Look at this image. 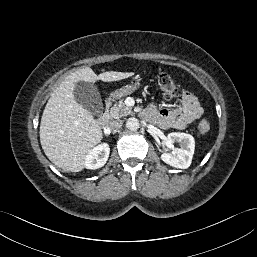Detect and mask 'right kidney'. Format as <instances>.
<instances>
[{"mask_svg":"<svg viewBox=\"0 0 257 257\" xmlns=\"http://www.w3.org/2000/svg\"><path fill=\"white\" fill-rule=\"evenodd\" d=\"M110 148L107 143H102L89 151L85 158V168L98 169L108 160Z\"/></svg>","mask_w":257,"mask_h":257,"instance_id":"1","label":"right kidney"}]
</instances>
